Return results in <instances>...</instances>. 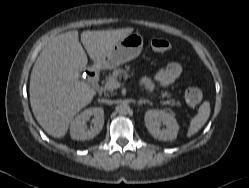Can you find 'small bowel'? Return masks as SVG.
Here are the masks:
<instances>
[{
    "mask_svg": "<svg viewBox=\"0 0 249 188\" xmlns=\"http://www.w3.org/2000/svg\"><path fill=\"white\" fill-rule=\"evenodd\" d=\"M182 72V67L177 62H170L162 67L154 77H143L141 84L144 89L153 93L156 87L165 88L179 78Z\"/></svg>",
    "mask_w": 249,
    "mask_h": 188,
    "instance_id": "obj_1",
    "label": "small bowel"
}]
</instances>
